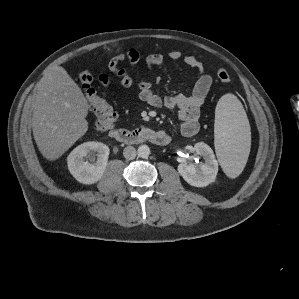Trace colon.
Segmentation results:
<instances>
[{
    "instance_id": "5ec220e1",
    "label": "colon",
    "mask_w": 299,
    "mask_h": 299,
    "mask_svg": "<svg viewBox=\"0 0 299 299\" xmlns=\"http://www.w3.org/2000/svg\"><path fill=\"white\" fill-rule=\"evenodd\" d=\"M217 77L222 83H230L231 81L229 73L224 69L217 71ZM79 82L89 106L96 116L95 130L101 133L111 132L118 116L116 110L94 89L92 86L93 76L88 70L80 73Z\"/></svg>"
}]
</instances>
